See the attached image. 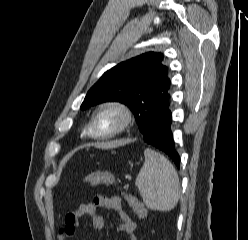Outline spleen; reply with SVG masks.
<instances>
[{
	"label": "spleen",
	"instance_id": "spleen-1",
	"mask_svg": "<svg viewBox=\"0 0 248 240\" xmlns=\"http://www.w3.org/2000/svg\"><path fill=\"white\" fill-rule=\"evenodd\" d=\"M144 156V165L135 181L143 202L149 209L170 211L181 193L177 171L166 157L154 150L146 149Z\"/></svg>",
	"mask_w": 248,
	"mask_h": 240
}]
</instances>
